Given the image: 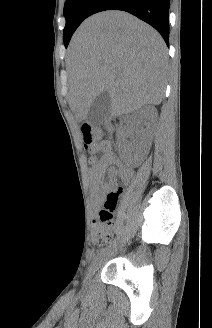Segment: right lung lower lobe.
<instances>
[{"mask_svg": "<svg viewBox=\"0 0 212 328\" xmlns=\"http://www.w3.org/2000/svg\"><path fill=\"white\" fill-rule=\"evenodd\" d=\"M170 0H96L88 17L105 10L129 12L153 26L169 44Z\"/></svg>", "mask_w": 212, "mask_h": 328, "instance_id": "obj_1", "label": "right lung lower lobe"}]
</instances>
